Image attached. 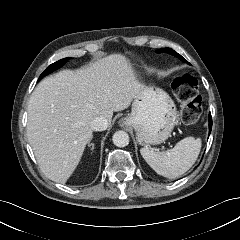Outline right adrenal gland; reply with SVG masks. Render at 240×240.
<instances>
[{
  "label": "right adrenal gland",
  "mask_w": 240,
  "mask_h": 240,
  "mask_svg": "<svg viewBox=\"0 0 240 240\" xmlns=\"http://www.w3.org/2000/svg\"><path fill=\"white\" fill-rule=\"evenodd\" d=\"M88 146H92V150L94 149V143H90V141H89V143H88Z\"/></svg>",
  "instance_id": "right-adrenal-gland-1"
}]
</instances>
